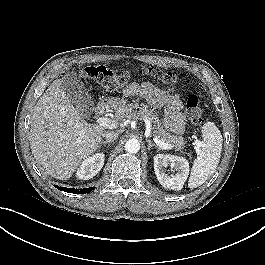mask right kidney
<instances>
[{
    "label": "right kidney",
    "instance_id": "ca27d5eb",
    "mask_svg": "<svg viewBox=\"0 0 265 265\" xmlns=\"http://www.w3.org/2000/svg\"><path fill=\"white\" fill-rule=\"evenodd\" d=\"M104 165V154L97 153L85 159L79 170L77 171V178L89 180L93 178Z\"/></svg>",
    "mask_w": 265,
    "mask_h": 265
}]
</instances>
